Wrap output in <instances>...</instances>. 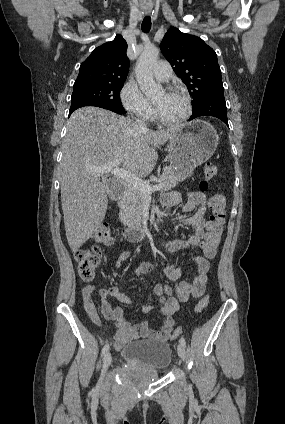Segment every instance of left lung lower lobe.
Returning a JSON list of instances; mask_svg holds the SVG:
<instances>
[{
    "label": "left lung lower lobe",
    "mask_w": 285,
    "mask_h": 424,
    "mask_svg": "<svg viewBox=\"0 0 285 424\" xmlns=\"http://www.w3.org/2000/svg\"><path fill=\"white\" fill-rule=\"evenodd\" d=\"M193 114L189 120L200 116H213L228 125L227 108L224 94H214L204 98L198 105L192 107Z\"/></svg>",
    "instance_id": "0a47b994"
}]
</instances>
